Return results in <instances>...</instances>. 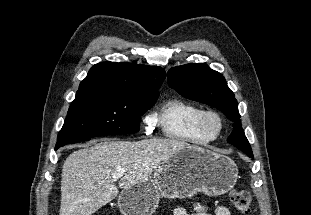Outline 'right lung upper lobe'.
I'll return each mask as SVG.
<instances>
[{
    "mask_svg": "<svg viewBox=\"0 0 311 215\" xmlns=\"http://www.w3.org/2000/svg\"><path fill=\"white\" fill-rule=\"evenodd\" d=\"M165 71L158 66L102 62L81 81L79 90H102L139 97H158Z\"/></svg>",
    "mask_w": 311,
    "mask_h": 215,
    "instance_id": "cb5924a9",
    "label": "right lung upper lobe"
}]
</instances>
